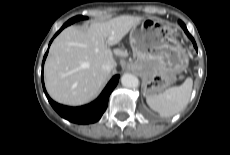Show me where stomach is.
Wrapping results in <instances>:
<instances>
[{
	"instance_id": "1",
	"label": "stomach",
	"mask_w": 230,
	"mask_h": 155,
	"mask_svg": "<svg viewBox=\"0 0 230 155\" xmlns=\"http://www.w3.org/2000/svg\"><path fill=\"white\" fill-rule=\"evenodd\" d=\"M130 44L147 96L161 93L188 65V55L174 29L160 19L145 18L136 24L130 32Z\"/></svg>"
}]
</instances>
